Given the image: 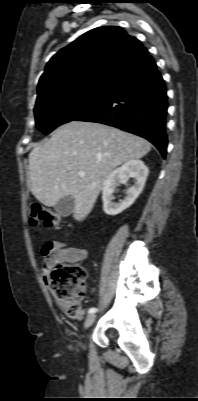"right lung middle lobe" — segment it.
I'll use <instances>...</instances> for the list:
<instances>
[{"mask_svg":"<svg viewBox=\"0 0 198 401\" xmlns=\"http://www.w3.org/2000/svg\"><path fill=\"white\" fill-rule=\"evenodd\" d=\"M109 84H85L64 89L37 99L34 108L36 126L44 134L70 122L93 107Z\"/></svg>","mask_w":198,"mask_h":401,"instance_id":"1","label":"right lung middle lobe"}]
</instances>
